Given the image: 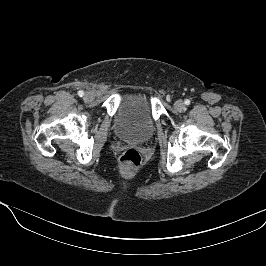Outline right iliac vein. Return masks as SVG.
I'll use <instances>...</instances> for the list:
<instances>
[{"instance_id": "63e3f726", "label": "right iliac vein", "mask_w": 266, "mask_h": 266, "mask_svg": "<svg viewBox=\"0 0 266 266\" xmlns=\"http://www.w3.org/2000/svg\"><path fill=\"white\" fill-rule=\"evenodd\" d=\"M94 98V94L92 92H87L85 95H84V99L88 102L92 101Z\"/></svg>"}]
</instances>
